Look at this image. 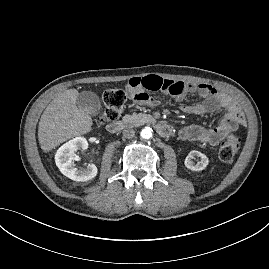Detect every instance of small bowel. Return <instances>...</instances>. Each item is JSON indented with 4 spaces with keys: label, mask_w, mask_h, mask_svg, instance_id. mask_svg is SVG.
Masks as SVG:
<instances>
[{
    "label": "small bowel",
    "mask_w": 269,
    "mask_h": 269,
    "mask_svg": "<svg viewBox=\"0 0 269 269\" xmlns=\"http://www.w3.org/2000/svg\"><path fill=\"white\" fill-rule=\"evenodd\" d=\"M127 92L135 105L155 106L159 102L148 94V91H163L182 102L186 95L197 93L203 101L193 105H182L185 113L203 115L223 109L224 116L220 123L207 128L193 124L182 128L179 137L184 141L198 142L215 146L221 139L245 124L244 115L238 104L228 95L205 83H191L165 80L151 75L144 78H131L126 85Z\"/></svg>",
    "instance_id": "small-bowel-1"
}]
</instances>
